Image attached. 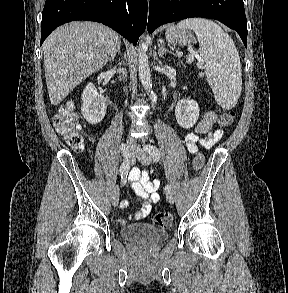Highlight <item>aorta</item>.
Masks as SVG:
<instances>
[{
  "mask_svg": "<svg viewBox=\"0 0 288 293\" xmlns=\"http://www.w3.org/2000/svg\"><path fill=\"white\" fill-rule=\"evenodd\" d=\"M147 45L142 42L138 49V75L140 82L146 92L149 94L150 100L154 103L157 99L156 94L152 90V80L147 55Z\"/></svg>",
  "mask_w": 288,
  "mask_h": 293,
  "instance_id": "762f6f07",
  "label": "aorta"
}]
</instances>
